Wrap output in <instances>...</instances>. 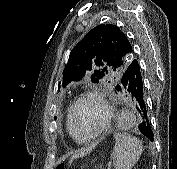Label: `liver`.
<instances>
[{
    "label": "liver",
    "mask_w": 177,
    "mask_h": 169,
    "mask_svg": "<svg viewBox=\"0 0 177 169\" xmlns=\"http://www.w3.org/2000/svg\"><path fill=\"white\" fill-rule=\"evenodd\" d=\"M78 156H79V154H78V155H74V156L72 157V159H73V158H76V157H78Z\"/></svg>",
    "instance_id": "1"
}]
</instances>
